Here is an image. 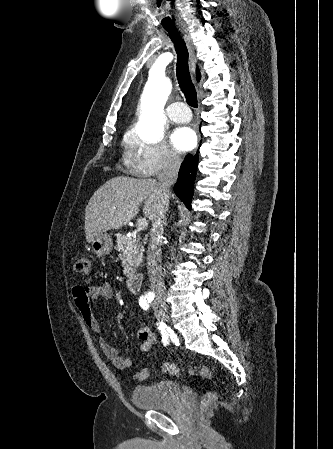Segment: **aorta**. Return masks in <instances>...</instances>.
<instances>
[{
    "mask_svg": "<svg viewBox=\"0 0 333 449\" xmlns=\"http://www.w3.org/2000/svg\"><path fill=\"white\" fill-rule=\"evenodd\" d=\"M172 84L161 68L154 65L141 97L139 136L150 142L161 141L166 121L164 108L171 92Z\"/></svg>",
    "mask_w": 333,
    "mask_h": 449,
    "instance_id": "obj_1",
    "label": "aorta"
}]
</instances>
